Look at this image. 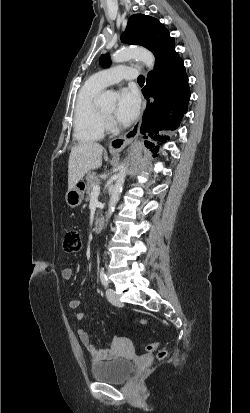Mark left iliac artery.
<instances>
[{"label":"left iliac artery","mask_w":250,"mask_h":413,"mask_svg":"<svg viewBox=\"0 0 250 413\" xmlns=\"http://www.w3.org/2000/svg\"><path fill=\"white\" fill-rule=\"evenodd\" d=\"M100 280H101L102 284H103L105 287H108L109 282H108L107 276H106V274H105V272H104V268H101V271H100Z\"/></svg>","instance_id":"1"}]
</instances>
